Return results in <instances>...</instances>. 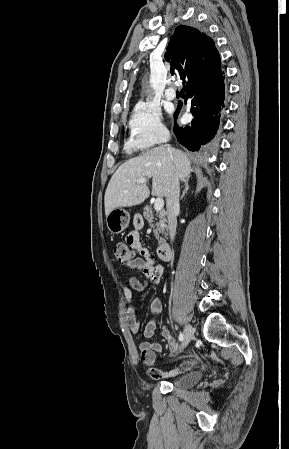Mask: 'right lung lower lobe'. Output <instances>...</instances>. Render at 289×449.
Here are the masks:
<instances>
[{
	"label": "right lung lower lobe",
	"mask_w": 289,
	"mask_h": 449,
	"mask_svg": "<svg viewBox=\"0 0 289 449\" xmlns=\"http://www.w3.org/2000/svg\"><path fill=\"white\" fill-rule=\"evenodd\" d=\"M224 79L220 64L206 76L184 86L187 88L186 100L190 98V111L194 118L185 128L175 124L174 133L179 143L190 151H198L203 145L216 142L215 135L224 108ZM182 105V102L178 103L175 118Z\"/></svg>",
	"instance_id": "98d812e1"
}]
</instances>
